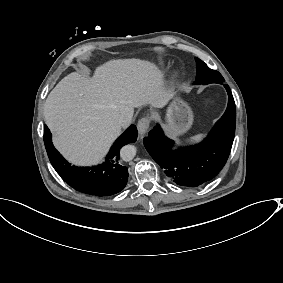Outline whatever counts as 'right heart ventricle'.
<instances>
[{"instance_id": "1", "label": "right heart ventricle", "mask_w": 283, "mask_h": 283, "mask_svg": "<svg viewBox=\"0 0 283 283\" xmlns=\"http://www.w3.org/2000/svg\"><path fill=\"white\" fill-rule=\"evenodd\" d=\"M155 68L159 71L163 70L165 68V63L164 62H158L156 65H155Z\"/></svg>"}]
</instances>
